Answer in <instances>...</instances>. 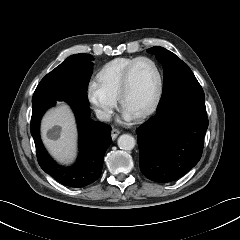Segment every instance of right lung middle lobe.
I'll return each mask as SVG.
<instances>
[{
    "label": "right lung middle lobe",
    "mask_w": 240,
    "mask_h": 240,
    "mask_svg": "<svg viewBox=\"0 0 240 240\" xmlns=\"http://www.w3.org/2000/svg\"><path fill=\"white\" fill-rule=\"evenodd\" d=\"M92 60L93 57L89 54L68 57L41 80L32 103L54 99L89 105L87 87L93 69Z\"/></svg>",
    "instance_id": "1"
}]
</instances>
